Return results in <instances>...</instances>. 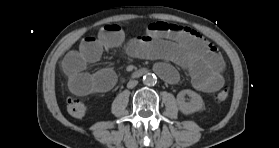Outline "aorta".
<instances>
[{
  "label": "aorta",
  "mask_w": 279,
  "mask_h": 148,
  "mask_svg": "<svg viewBox=\"0 0 279 148\" xmlns=\"http://www.w3.org/2000/svg\"><path fill=\"white\" fill-rule=\"evenodd\" d=\"M142 81L145 85L151 86L156 84L157 78L154 74L148 73L143 76Z\"/></svg>",
  "instance_id": "obj_1"
}]
</instances>
